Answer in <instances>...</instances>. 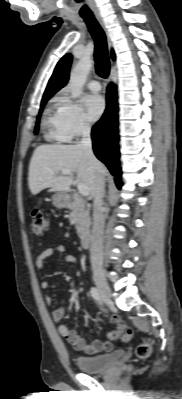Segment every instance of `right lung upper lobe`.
Segmentation results:
<instances>
[{"instance_id":"1","label":"right lung upper lobe","mask_w":182,"mask_h":399,"mask_svg":"<svg viewBox=\"0 0 182 399\" xmlns=\"http://www.w3.org/2000/svg\"><path fill=\"white\" fill-rule=\"evenodd\" d=\"M112 59H115V54L111 52ZM72 61L71 54H66L62 57V59L58 62L55 67V70L48 82L46 90L43 95L44 98L52 97L58 90L64 87L69 79V70Z\"/></svg>"}]
</instances>
